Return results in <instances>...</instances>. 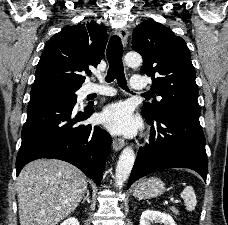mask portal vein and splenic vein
Here are the masks:
<instances>
[{
  "mask_svg": "<svg viewBox=\"0 0 228 225\" xmlns=\"http://www.w3.org/2000/svg\"><path fill=\"white\" fill-rule=\"evenodd\" d=\"M169 202L171 205H180V200H174V197H169V199H164L163 207H169Z\"/></svg>",
  "mask_w": 228,
  "mask_h": 225,
  "instance_id": "18ae733b",
  "label": "portal vein and splenic vein"
}]
</instances>
